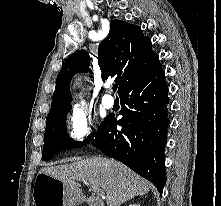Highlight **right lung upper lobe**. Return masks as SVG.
I'll use <instances>...</instances> for the list:
<instances>
[{"instance_id":"obj_1","label":"right lung upper lobe","mask_w":221,"mask_h":206,"mask_svg":"<svg viewBox=\"0 0 221 206\" xmlns=\"http://www.w3.org/2000/svg\"><path fill=\"white\" fill-rule=\"evenodd\" d=\"M151 45L150 38L143 35L139 26L116 19L111 21L109 35L98 49L102 79L115 78L120 94L129 83L159 62ZM89 62L90 57L85 50H78L66 59L56 79L49 113L59 108L71 107L70 80L78 72H87Z\"/></svg>"}]
</instances>
